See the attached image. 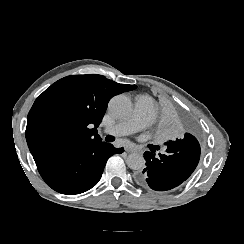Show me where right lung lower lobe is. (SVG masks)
<instances>
[{
    "mask_svg": "<svg viewBox=\"0 0 244 244\" xmlns=\"http://www.w3.org/2000/svg\"><path fill=\"white\" fill-rule=\"evenodd\" d=\"M102 140L33 155L40 175L55 191L74 195L94 187L110 156L122 153Z\"/></svg>",
    "mask_w": 244,
    "mask_h": 244,
    "instance_id": "right-lung-lower-lobe-1",
    "label": "right lung lower lobe"
}]
</instances>
